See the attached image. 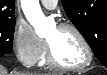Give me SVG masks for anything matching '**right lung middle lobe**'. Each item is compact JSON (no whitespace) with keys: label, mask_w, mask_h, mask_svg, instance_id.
Returning <instances> with one entry per match:
<instances>
[{"label":"right lung middle lobe","mask_w":107,"mask_h":75,"mask_svg":"<svg viewBox=\"0 0 107 75\" xmlns=\"http://www.w3.org/2000/svg\"><path fill=\"white\" fill-rule=\"evenodd\" d=\"M15 19L0 20V53L10 54L13 50Z\"/></svg>","instance_id":"1"}]
</instances>
